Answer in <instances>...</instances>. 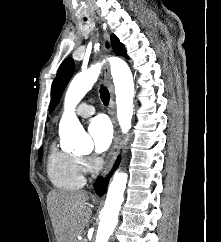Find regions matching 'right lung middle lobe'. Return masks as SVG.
I'll list each match as a JSON object with an SVG mask.
<instances>
[{
  "label": "right lung middle lobe",
  "instance_id": "right-lung-middle-lobe-1",
  "mask_svg": "<svg viewBox=\"0 0 221 242\" xmlns=\"http://www.w3.org/2000/svg\"><path fill=\"white\" fill-rule=\"evenodd\" d=\"M38 157H39V160H40V159H41V157H42V147H41V148H40V150H39Z\"/></svg>",
  "mask_w": 221,
  "mask_h": 242
}]
</instances>
